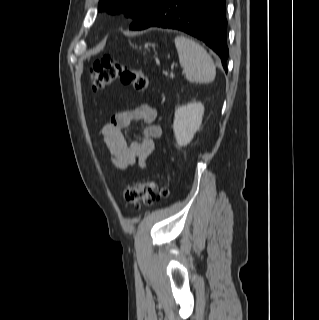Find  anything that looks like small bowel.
<instances>
[{
	"label": "small bowel",
	"mask_w": 319,
	"mask_h": 320,
	"mask_svg": "<svg viewBox=\"0 0 319 320\" xmlns=\"http://www.w3.org/2000/svg\"><path fill=\"white\" fill-rule=\"evenodd\" d=\"M156 118L157 112L152 106L141 104L116 112L102 126L101 137L109 151L110 163L116 169H127L137 161L144 163L153 153L162 133L161 127L155 122ZM134 121L144 122L143 136L140 141L128 142L123 130Z\"/></svg>",
	"instance_id": "1"
}]
</instances>
